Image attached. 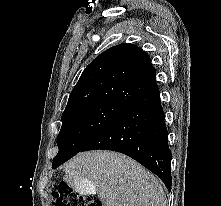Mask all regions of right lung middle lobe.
Returning <instances> with one entry per match:
<instances>
[{
    "mask_svg": "<svg viewBox=\"0 0 221 206\" xmlns=\"http://www.w3.org/2000/svg\"><path fill=\"white\" fill-rule=\"evenodd\" d=\"M125 107L97 103L64 111L58 134L59 152L53 160L55 169L80 152L97 134L115 120Z\"/></svg>",
    "mask_w": 221,
    "mask_h": 206,
    "instance_id": "1",
    "label": "right lung middle lobe"
}]
</instances>
